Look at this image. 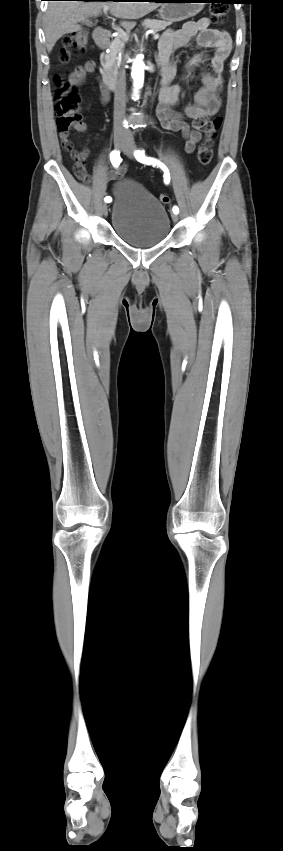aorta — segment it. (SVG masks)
Segmentation results:
<instances>
[{
    "label": "aorta",
    "mask_w": 283,
    "mask_h": 851,
    "mask_svg": "<svg viewBox=\"0 0 283 851\" xmlns=\"http://www.w3.org/2000/svg\"><path fill=\"white\" fill-rule=\"evenodd\" d=\"M145 64L141 57L137 56L132 64L131 77L133 79V92L137 95L144 83Z\"/></svg>",
    "instance_id": "obj_1"
}]
</instances>
